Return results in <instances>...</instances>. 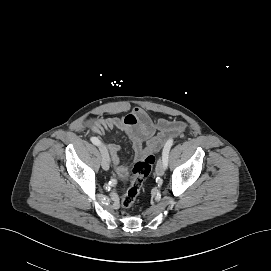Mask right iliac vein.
<instances>
[{
  "instance_id": "1",
  "label": "right iliac vein",
  "mask_w": 271,
  "mask_h": 271,
  "mask_svg": "<svg viewBox=\"0 0 271 271\" xmlns=\"http://www.w3.org/2000/svg\"><path fill=\"white\" fill-rule=\"evenodd\" d=\"M100 150H101V156H102V159H101L102 168L104 170H108L110 167V158H109L107 147L104 144H102L100 146Z\"/></svg>"
}]
</instances>
